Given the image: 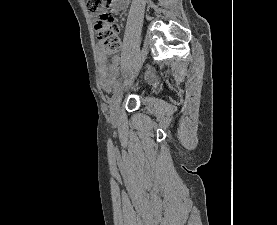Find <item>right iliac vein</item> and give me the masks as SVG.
Returning <instances> with one entry per match:
<instances>
[{
    "label": "right iliac vein",
    "instance_id": "1",
    "mask_svg": "<svg viewBox=\"0 0 277 225\" xmlns=\"http://www.w3.org/2000/svg\"><path fill=\"white\" fill-rule=\"evenodd\" d=\"M126 90H127V88L123 89V90H119L118 92H116V94L113 96V98L111 100L110 117H111L112 120H115L117 118L118 114H119L120 104H121V101H122V98H123V94Z\"/></svg>",
    "mask_w": 277,
    "mask_h": 225
}]
</instances>
